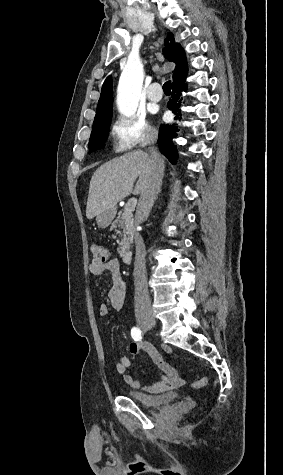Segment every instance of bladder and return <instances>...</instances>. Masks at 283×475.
Masks as SVG:
<instances>
[{"mask_svg": "<svg viewBox=\"0 0 283 475\" xmlns=\"http://www.w3.org/2000/svg\"><path fill=\"white\" fill-rule=\"evenodd\" d=\"M127 396L145 408H152L170 402L174 403L179 398L177 393L172 392L154 396L137 390H128Z\"/></svg>", "mask_w": 283, "mask_h": 475, "instance_id": "1", "label": "bladder"}]
</instances>
